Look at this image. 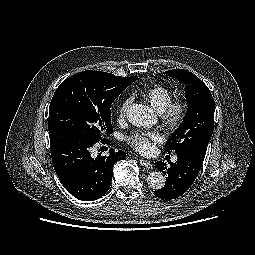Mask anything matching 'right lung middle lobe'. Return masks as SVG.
Listing matches in <instances>:
<instances>
[{
	"label": "right lung middle lobe",
	"mask_w": 255,
	"mask_h": 255,
	"mask_svg": "<svg viewBox=\"0 0 255 255\" xmlns=\"http://www.w3.org/2000/svg\"><path fill=\"white\" fill-rule=\"evenodd\" d=\"M138 77L87 70L56 89L49 108V132L62 128L98 142L113 131L111 104Z\"/></svg>",
	"instance_id": "right-lung-middle-lobe-1"
}]
</instances>
